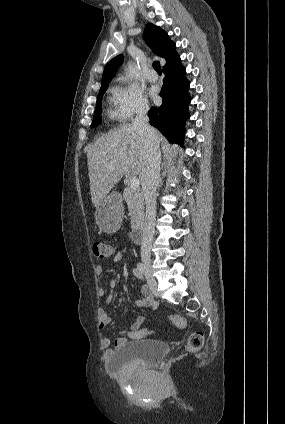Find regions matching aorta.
<instances>
[{
    "label": "aorta",
    "mask_w": 285,
    "mask_h": 424,
    "mask_svg": "<svg viewBox=\"0 0 285 424\" xmlns=\"http://www.w3.org/2000/svg\"><path fill=\"white\" fill-rule=\"evenodd\" d=\"M137 74V68L134 64L130 63L127 68V77L134 79Z\"/></svg>",
    "instance_id": "1"
}]
</instances>
